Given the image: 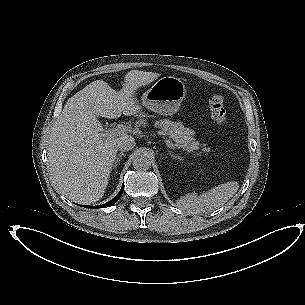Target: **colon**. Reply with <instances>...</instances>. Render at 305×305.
Returning a JSON list of instances; mask_svg holds the SVG:
<instances>
[{
  "instance_id": "5ec220e1",
  "label": "colon",
  "mask_w": 305,
  "mask_h": 305,
  "mask_svg": "<svg viewBox=\"0 0 305 305\" xmlns=\"http://www.w3.org/2000/svg\"><path fill=\"white\" fill-rule=\"evenodd\" d=\"M209 105L212 118L218 124H224L227 121V113L224 108L223 98L221 96H214L211 98Z\"/></svg>"
}]
</instances>
